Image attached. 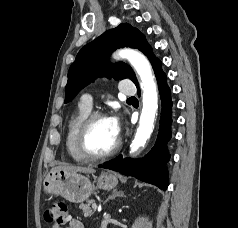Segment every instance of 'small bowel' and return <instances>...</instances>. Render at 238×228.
I'll return each mask as SVG.
<instances>
[{"mask_svg": "<svg viewBox=\"0 0 238 228\" xmlns=\"http://www.w3.org/2000/svg\"><path fill=\"white\" fill-rule=\"evenodd\" d=\"M69 225L67 228H84V225L81 220L77 218H71L69 217ZM51 228H62L59 225H53Z\"/></svg>", "mask_w": 238, "mask_h": 228, "instance_id": "obj_1", "label": "small bowel"}]
</instances>
